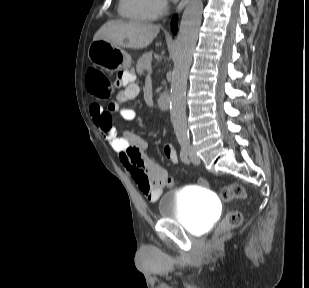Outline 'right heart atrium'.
Returning a JSON list of instances; mask_svg holds the SVG:
<instances>
[{"label": "right heart atrium", "mask_w": 309, "mask_h": 288, "mask_svg": "<svg viewBox=\"0 0 309 288\" xmlns=\"http://www.w3.org/2000/svg\"><path fill=\"white\" fill-rule=\"evenodd\" d=\"M156 17L164 14L169 7L168 0H150Z\"/></svg>", "instance_id": "right-heart-atrium-1"}]
</instances>
